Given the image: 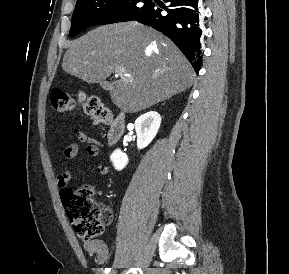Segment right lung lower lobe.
<instances>
[{
    "mask_svg": "<svg viewBox=\"0 0 289 274\" xmlns=\"http://www.w3.org/2000/svg\"><path fill=\"white\" fill-rule=\"evenodd\" d=\"M168 8L152 3L134 20L155 28L168 36L185 54L196 73L202 63V15L200 0H166ZM165 11L167 14L162 13Z\"/></svg>",
    "mask_w": 289,
    "mask_h": 274,
    "instance_id": "98d812e1",
    "label": "right lung lower lobe"
}]
</instances>
